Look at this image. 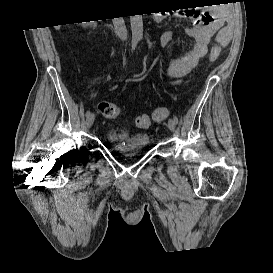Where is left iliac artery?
<instances>
[{
    "mask_svg": "<svg viewBox=\"0 0 273 273\" xmlns=\"http://www.w3.org/2000/svg\"><path fill=\"white\" fill-rule=\"evenodd\" d=\"M174 121L176 124L178 123V118L176 116H174Z\"/></svg>",
    "mask_w": 273,
    "mask_h": 273,
    "instance_id": "obj_1",
    "label": "left iliac artery"
}]
</instances>
